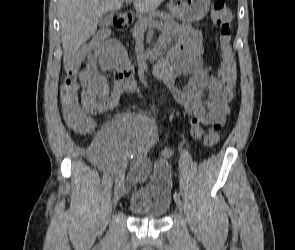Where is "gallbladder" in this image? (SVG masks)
Masks as SVG:
<instances>
[{"instance_id": "obj_1", "label": "gallbladder", "mask_w": 295, "mask_h": 250, "mask_svg": "<svg viewBox=\"0 0 295 250\" xmlns=\"http://www.w3.org/2000/svg\"><path fill=\"white\" fill-rule=\"evenodd\" d=\"M111 19H112V13H105L100 19H99V26L101 28H107L110 23H111Z\"/></svg>"}]
</instances>
